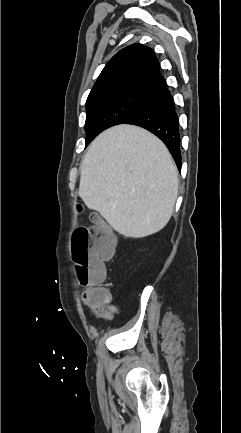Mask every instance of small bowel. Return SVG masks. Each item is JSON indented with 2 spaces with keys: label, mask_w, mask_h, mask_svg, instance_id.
<instances>
[{
  "label": "small bowel",
  "mask_w": 241,
  "mask_h": 433,
  "mask_svg": "<svg viewBox=\"0 0 241 433\" xmlns=\"http://www.w3.org/2000/svg\"><path fill=\"white\" fill-rule=\"evenodd\" d=\"M91 310L96 314L97 317L103 318L105 320H112L115 314L118 313V308L111 304L110 295L96 303V305L92 306Z\"/></svg>",
  "instance_id": "small-bowel-1"
}]
</instances>
